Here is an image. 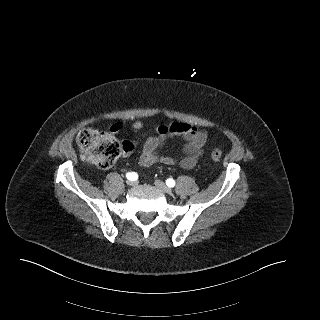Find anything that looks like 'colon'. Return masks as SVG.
Returning <instances> with one entry per match:
<instances>
[{"mask_svg":"<svg viewBox=\"0 0 320 320\" xmlns=\"http://www.w3.org/2000/svg\"><path fill=\"white\" fill-rule=\"evenodd\" d=\"M78 145L89 161L100 168L110 167L122 151H130L128 143H120L112 134L95 129H84L76 137ZM214 162H220L222 153L215 148L211 152Z\"/></svg>","mask_w":320,"mask_h":320,"instance_id":"5ec220e1","label":"colon"}]
</instances>
